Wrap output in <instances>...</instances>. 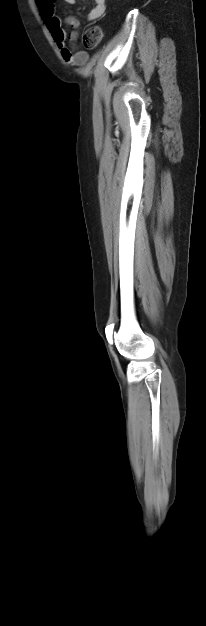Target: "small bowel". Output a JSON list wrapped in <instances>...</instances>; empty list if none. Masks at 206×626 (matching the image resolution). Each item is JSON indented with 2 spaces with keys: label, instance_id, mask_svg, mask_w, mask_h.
I'll use <instances>...</instances> for the list:
<instances>
[{
  "label": "small bowel",
  "instance_id": "obj_1",
  "mask_svg": "<svg viewBox=\"0 0 206 626\" xmlns=\"http://www.w3.org/2000/svg\"><path fill=\"white\" fill-rule=\"evenodd\" d=\"M66 3L73 4L76 0H64ZM95 6L89 12L88 20H98L103 17L106 11V0H94ZM40 8V13L46 26L51 33V36L58 47L63 60L72 66H83L88 61V53L83 50H77L73 46V42L77 37L75 31L79 26V21L73 17L68 16L65 22L71 26L74 30L67 34L62 27L60 18L55 14L54 1L53 0H37Z\"/></svg>",
  "mask_w": 206,
  "mask_h": 626
}]
</instances>
